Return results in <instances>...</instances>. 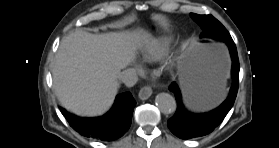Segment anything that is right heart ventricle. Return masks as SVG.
I'll return each mask as SVG.
<instances>
[{"instance_id": "obj_1", "label": "right heart ventricle", "mask_w": 279, "mask_h": 148, "mask_svg": "<svg viewBox=\"0 0 279 148\" xmlns=\"http://www.w3.org/2000/svg\"><path fill=\"white\" fill-rule=\"evenodd\" d=\"M172 38L161 36L150 41L141 51V58L145 62H154L159 60L170 48Z\"/></svg>"}]
</instances>
